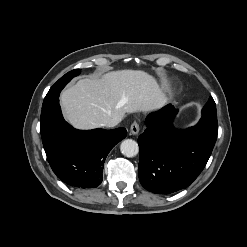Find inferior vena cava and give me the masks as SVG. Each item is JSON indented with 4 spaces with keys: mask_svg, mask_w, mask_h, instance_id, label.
Returning a JSON list of instances; mask_svg holds the SVG:
<instances>
[{
    "mask_svg": "<svg viewBox=\"0 0 247 247\" xmlns=\"http://www.w3.org/2000/svg\"><path fill=\"white\" fill-rule=\"evenodd\" d=\"M121 122V119H114L107 124V127H115Z\"/></svg>",
    "mask_w": 247,
    "mask_h": 247,
    "instance_id": "602c4592",
    "label": "inferior vena cava"
}]
</instances>
